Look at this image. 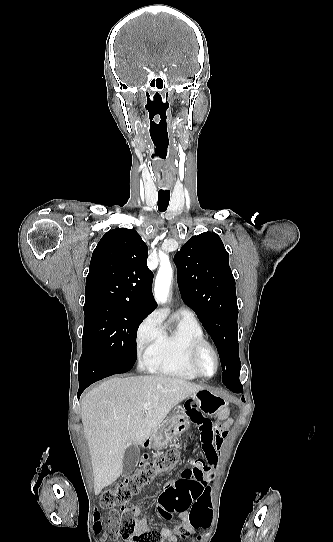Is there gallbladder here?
<instances>
[{"mask_svg": "<svg viewBox=\"0 0 333 542\" xmlns=\"http://www.w3.org/2000/svg\"><path fill=\"white\" fill-rule=\"evenodd\" d=\"M139 458L140 450L139 448H137V446H130V448H127V450H125L122 468L123 478H126V476H130V474L134 472L139 462Z\"/></svg>", "mask_w": 333, "mask_h": 542, "instance_id": "obj_1", "label": "gallbladder"}]
</instances>
